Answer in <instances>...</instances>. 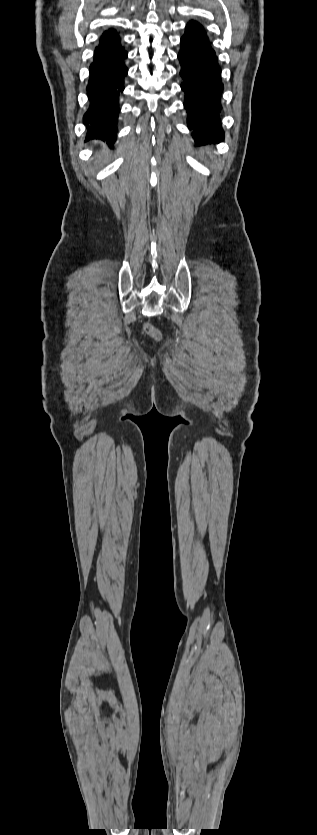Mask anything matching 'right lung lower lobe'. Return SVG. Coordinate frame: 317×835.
Wrapping results in <instances>:
<instances>
[{"label": "right lung lower lobe", "mask_w": 317, "mask_h": 835, "mask_svg": "<svg viewBox=\"0 0 317 835\" xmlns=\"http://www.w3.org/2000/svg\"><path fill=\"white\" fill-rule=\"evenodd\" d=\"M126 58L127 52L118 38L111 39L102 35L89 68L87 95L90 108L83 118L88 129L87 140L100 139L108 144L116 140L119 95L124 89V78L128 71L124 63Z\"/></svg>", "instance_id": "1"}]
</instances>
